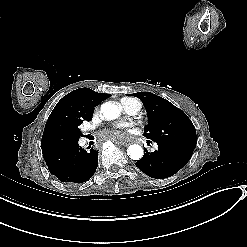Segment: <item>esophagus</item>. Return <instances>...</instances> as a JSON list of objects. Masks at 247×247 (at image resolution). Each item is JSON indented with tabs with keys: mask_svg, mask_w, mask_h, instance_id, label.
Listing matches in <instances>:
<instances>
[{
	"mask_svg": "<svg viewBox=\"0 0 247 247\" xmlns=\"http://www.w3.org/2000/svg\"><path fill=\"white\" fill-rule=\"evenodd\" d=\"M134 143H137V140H134V142L132 140H129L128 142H123V147H132Z\"/></svg>",
	"mask_w": 247,
	"mask_h": 247,
	"instance_id": "obj_1",
	"label": "esophagus"
}]
</instances>
